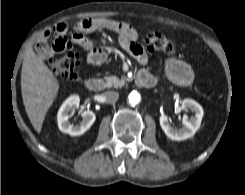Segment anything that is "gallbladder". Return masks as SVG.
<instances>
[{
  "mask_svg": "<svg viewBox=\"0 0 245 195\" xmlns=\"http://www.w3.org/2000/svg\"><path fill=\"white\" fill-rule=\"evenodd\" d=\"M39 53L43 54V53H48L49 56H53L54 55V51L51 50L49 47H46V48H41L39 49Z\"/></svg>",
  "mask_w": 245,
  "mask_h": 195,
  "instance_id": "gallbladder-1",
  "label": "gallbladder"
}]
</instances>
